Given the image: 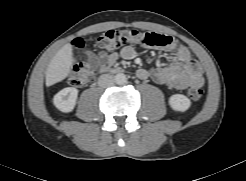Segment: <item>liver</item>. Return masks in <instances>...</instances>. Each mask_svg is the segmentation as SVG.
<instances>
[{"label": "liver", "mask_w": 246, "mask_h": 181, "mask_svg": "<svg viewBox=\"0 0 246 181\" xmlns=\"http://www.w3.org/2000/svg\"><path fill=\"white\" fill-rule=\"evenodd\" d=\"M73 63V49L64 45L50 61L46 71V86H52L64 80L70 73Z\"/></svg>", "instance_id": "liver-1"}]
</instances>
